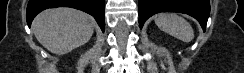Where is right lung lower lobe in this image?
<instances>
[{"label":"right lung lower lobe","instance_id":"1","mask_svg":"<svg viewBox=\"0 0 244 73\" xmlns=\"http://www.w3.org/2000/svg\"><path fill=\"white\" fill-rule=\"evenodd\" d=\"M53 7H72L92 15L104 32V0H30L27 6V24L30 27L33 18L42 10Z\"/></svg>","mask_w":244,"mask_h":73}]
</instances>
